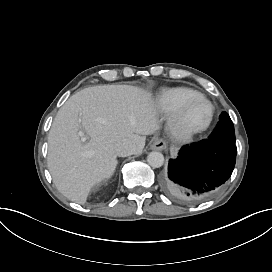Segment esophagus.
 <instances>
[{"label": "esophagus", "instance_id": "34e87169", "mask_svg": "<svg viewBox=\"0 0 272 272\" xmlns=\"http://www.w3.org/2000/svg\"><path fill=\"white\" fill-rule=\"evenodd\" d=\"M167 147L166 141L161 138H156L152 141L150 148L152 150L162 151L165 150Z\"/></svg>", "mask_w": 272, "mask_h": 272}]
</instances>
